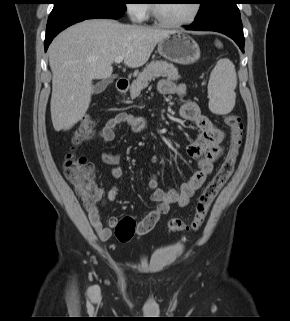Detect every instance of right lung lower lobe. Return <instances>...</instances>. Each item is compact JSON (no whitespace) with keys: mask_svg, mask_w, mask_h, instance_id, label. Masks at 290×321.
Here are the masks:
<instances>
[{"mask_svg":"<svg viewBox=\"0 0 290 321\" xmlns=\"http://www.w3.org/2000/svg\"><path fill=\"white\" fill-rule=\"evenodd\" d=\"M123 12H108V13H97V14H85V13H60L52 15L50 14L46 27L45 37V51L50 45L53 38L65 28L83 21L85 19L94 18H108L118 19L123 16Z\"/></svg>","mask_w":290,"mask_h":321,"instance_id":"right-lung-lower-lobe-1","label":"right lung lower lobe"}]
</instances>
